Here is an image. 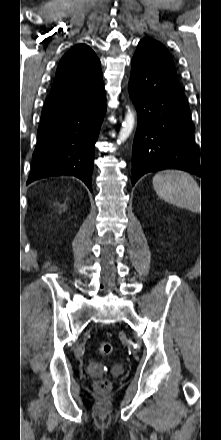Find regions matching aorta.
I'll use <instances>...</instances> for the list:
<instances>
[{"label":"aorta","mask_w":221,"mask_h":440,"mask_svg":"<svg viewBox=\"0 0 221 440\" xmlns=\"http://www.w3.org/2000/svg\"><path fill=\"white\" fill-rule=\"evenodd\" d=\"M134 124H135V116L133 112L129 109L125 116V120L122 123V128L119 132V136L117 140L119 144L127 140V138L130 136V134L133 131Z\"/></svg>","instance_id":"aorta-1"}]
</instances>
